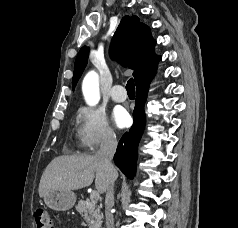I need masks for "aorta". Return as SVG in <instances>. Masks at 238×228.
<instances>
[{"label":"aorta","mask_w":238,"mask_h":228,"mask_svg":"<svg viewBox=\"0 0 238 228\" xmlns=\"http://www.w3.org/2000/svg\"><path fill=\"white\" fill-rule=\"evenodd\" d=\"M82 91L88 105L94 106L99 102V78L95 71H91L85 76L82 83Z\"/></svg>","instance_id":"762f6f07"}]
</instances>
